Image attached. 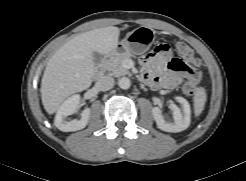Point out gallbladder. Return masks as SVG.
<instances>
[{
	"mask_svg": "<svg viewBox=\"0 0 246 181\" xmlns=\"http://www.w3.org/2000/svg\"><path fill=\"white\" fill-rule=\"evenodd\" d=\"M102 58H103L102 54L93 52V62L95 63V65L100 64L102 61Z\"/></svg>",
	"mask_w": 246,
	"mask_h": 181,
	"instance_id": "gallbladder-1",
	"label": "gallbladder"
}]
</instances>
